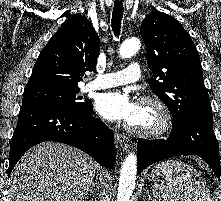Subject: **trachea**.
Here are the masks:
<instances>
[{
    "label": "trachea",
    "instance_id": "obj_1",
    "mask_svg": "<svg viewBox=\"0 0 221 201\" xmlns=\"http://www.w3.org/2000/svg\"><path fill=\"white\" fill-rule=\"evenodd\" d=\"M123 12H124V7L122 0L116 1L114 3L112 19H111V26L115 36H119L120 34Z\"/></svg>",
    "mask_w": 221,
    "mask_h": 201
}]
</instances>
